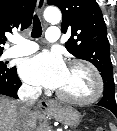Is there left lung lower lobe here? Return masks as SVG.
Wrapping results in <instances>:
<instances>
[{
	"label": "left lung lower lobe",
	"instance_id": "left-lung-lower-lobe-1",
	"mask_svg": "<svg viewBox=\"0 0 117 131\" xmlns=\"http://www.w3.org/2000/svg\"><path fill=\"white\" fill-rule=\"evenodd\" d=\"M105 95H108V93H107V92H106V93L104 92V96H105ZM104 96H103V97H104ZM97 105L102 106V107H105V108L111 110V111L115 114V116L117 117V108H113V107H111V106L105 105L104 103H102V99L99 101V103H98Z\"/></svg>",
	"mask_w": 117,
	"mask_h": 131
}]
</instances>
